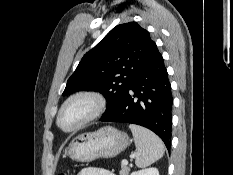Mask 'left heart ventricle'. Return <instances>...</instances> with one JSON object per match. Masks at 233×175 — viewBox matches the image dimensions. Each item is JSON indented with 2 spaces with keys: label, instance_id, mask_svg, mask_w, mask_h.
I'll use <instances>...</instances> for the list:
<instances>
[{
  "label": "left heart ventricle",
  "instance_id": "left-heart-ventricle-1",
  "mask_svg": "<svg viewBox=\"0 0 233 175\" xmlns=\"http://www.w3.org/2000/svg\"><path fill=\"white\" fill-rule=\"evenodd\" d=\"M92 109V103L88 100H77L73 102L62 114L61 124L68 128L87 116Z\"/></svg>",
  "mask_w": 233,
  "mask_h": 175
}]
</instances>
